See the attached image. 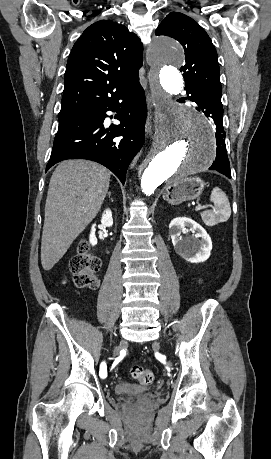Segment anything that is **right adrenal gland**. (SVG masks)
Here are the masks:
<instances>
[{"mask_svg":"<svg viewBox=\"0 0 271 459\" xmlns=\"http://www.w3.org/2000/svg\"><path fill=\"white\" fill-rule=\"evenodd\" d=\"M108 196H111V192H108Z\"/></svg>","mask_w":271,"mask_h":459,"instance_id":"right-adrenal-gland-1","label":"right adrenal gland"}]
</instances>
